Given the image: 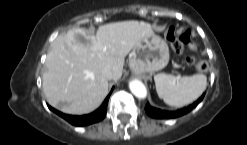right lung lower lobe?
Segmentation results:
<instances>
[{"label":"right lung lower lobe","instance_id":"1","mask_svg":"<svg viewBox=\"0 0 247 145\" xmlns=\"http://www.w3.org/2000/svg\"><path fill=\"white\" fill-rule=\"evenodd\" d=\"M109 96H110V94L104 100V102L102 103L100 108H98L96 111H94L91 114L83 115V116L66 115V114H63V113L57 111L56 109H54L50 106H48V107L50 110H52L54 113L58 114L59 116H61L65 120H67L72 125L85 126V125H89V124H92L95 122H99L105 117Z\"/></svg>","mask_w":247,"mask_h":145}]
</instances>
